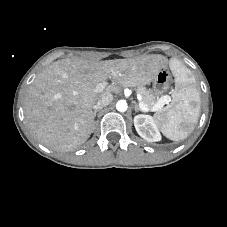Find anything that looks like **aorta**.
<instances>
[{
  "label": "aorta",
  "mask_w": 227,
  "mask_h": 227,
  "mask_svg": "<svg viewBox=\"0 0 227 227\" xmlns=\"http://www.w3.org/2000/svg\"><path fill=\"white\" fill-rule=\"evenodd\" d=\"M128 108V105L126 103V101L124 100H119L117 103H116V109L119 111V112H125Z\"/></svg>",
  "instance_id": "1"
}]
</instances>
